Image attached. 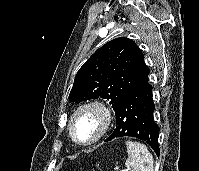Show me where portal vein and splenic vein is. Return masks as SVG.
Wrapping results in <instances>:
<instances>
[{"mask_svg":"<svg viewBox=\"0 0 199 171\" xmlns=\"http://www.w3.org/2000/svg\"><path fill=\"white\" fill-rule=\"evenodd\" d=\"M120 171H129V169H128V168H126V169H122V170H120Z\"/></svg>","mask_w":199,"mask_h":171,"instance_id":"obj_1","label":"portal vein and splenic vein"}]
</instances>
